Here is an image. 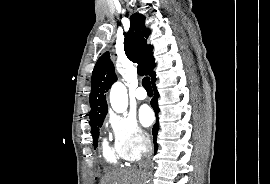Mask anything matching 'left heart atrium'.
I'll return each mask as SVG.
<instances>
[{"mask_svg":"<svg viewBox=\"0 0 270 184\" xmlns=\"http://www.w3.org/2000/svg\"><path fill=\"white\" fill-rule=\"evenodd\" d=\"M139 119L143 126L148 127L153 121V113L147 106H143L139 112Z\"/></svg>","mask_w":270,"mask_h":184,"instance_id":"left-heart-atrium-1","label":"left heart atrium"}]
</instances>
